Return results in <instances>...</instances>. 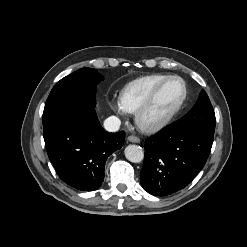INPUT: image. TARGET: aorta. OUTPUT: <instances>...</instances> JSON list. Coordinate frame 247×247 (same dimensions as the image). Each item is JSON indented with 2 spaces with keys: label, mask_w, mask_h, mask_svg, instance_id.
Here are the masks:
<instances>
[{
  "label": "aorta",
  "mask_w": 247,
  "mask_h": 247,
  "mask_svg": "<svg viewBox=\"0 0 247 247\" xmlns=\"http://www.w3.org/2000/svg\"><path fill=\"white\" fill-rule=\"evenodd\" d=\"M125 157L133 163H139L144 158V152L142 148L138 145H128L125 148Z\"/></svg>",
  "instance_id": "762f6f07"
}]
</instances>
